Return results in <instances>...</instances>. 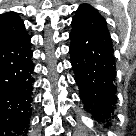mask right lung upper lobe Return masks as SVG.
Masks as SVG:
<instances>
[{
  "mask_svg": "<svg viewBox=\"0 0 136 136\" xmlns=\"http://www.w3.org/2000/svg\"><path fill=\"white\" fill-rule=\"evenodd\" d=\"M23 21L15 12L0 15V43L18 39L26 35Z\"/></svg>",
  "mask_w": 136,
  "mask_h": 136,
  "instance_id": "cb5924a9",
  "label": "right lung upper lobe"
}]
</instances>
